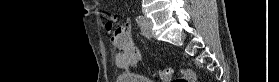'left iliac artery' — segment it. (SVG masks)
I'll use <instances>...</instances> for the list:
<instances>
[{
  "instance_id": "left-iliac-artery-1",
  "label": "left iliac artery",
  "mask_w": 279,
  "mask_h": 82,
  "mask_svg": "<svg viewBox=\"0 0 279 82\" xmlns=\"http://www.w3.org/2000/svg\"><path fill=\"white\" fill-rule=\"evenodd\" d=\"M144 20V17L142 16V15H138L137 17H136V21L137 22H142Z\"/></svg>"
}]
</instances>
